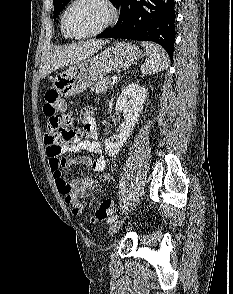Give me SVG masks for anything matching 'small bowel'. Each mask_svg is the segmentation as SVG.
I'll list each match as a JSON object with an SVG mask.
<instances>
[{
  "label": "small bowel",
  "mask_w": 233,
  "mask_h": 294,
  "mask_svg": "<svg viewBox=\"0 0 233 294\" xmlns=\"http://www.w3.org/2000/svg\"><path fill=\"white\" fill-rule=\"evenodd\" d=\"M76 112V108L53 110L51 117H48L50 128L45 134L44 143L58 191L66 196L83 199L97 187L99 180L93 176L82 179H68L65 176V171L72 164H83L100 173L105 170L106 161L98 141L93 108L85 107L79 113ZM68 118H71L72 122H80L83 126L82 129L75 130L73 123L66 120ZM68 152H88L95 156L93 158L88 156L75 158L62 156L68 154ZM109 179V174L102 177L103 181Z\"/></svg>",
  "instance_id": "obj_1"
}]
</instances>
